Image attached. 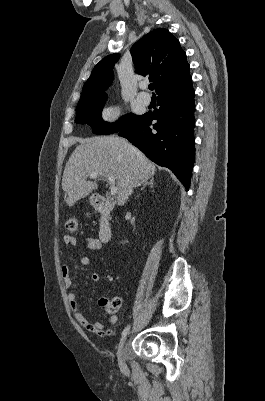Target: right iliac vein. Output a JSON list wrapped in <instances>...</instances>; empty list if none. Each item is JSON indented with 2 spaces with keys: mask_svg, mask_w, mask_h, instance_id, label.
<instances>
[{
  "mask_svg": "<svg viewBox=\"0 0 265 401\" xmlns=\"http://www.w3.org/2000/svg\"><path fill=\"white\" fill-rule=\"evenodd\" d=\"M126 340H127V336H125L119 346H118V350H117V359H118V364L121 370H126L127 368V364H126V359L123 353L124 350V346L126 344Z\"/></svg>",
  "mask_w": 265,
  "mask_h": 401,
  "instance_id": "63e3f726",
  "label": "right iliac vein"
}]
</instances>
